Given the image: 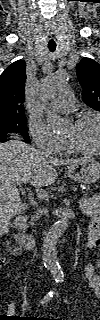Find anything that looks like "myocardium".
Here are the masks:
<instances>
[{
  "mask_svg": "<svg viewBox=\"0 0 100 320\" xmlns=\"http://www.w3.org/2000/svg\"><path fill=\"white\" fill-rule=\"evenodd\" d=\"M87 120H95L99 125V142H98L97 148L93 150H87L78 146L76 143H74L73 141L67 138H65V144L67 145L68 148H70L72 151H75L77 153H81L84 155H97L100 153V117L99 115L95 113L82 114L77 119H75L74 124H81Z\"/></svg>",
  "mask_w": 100,
  "mask_h": 320,
  "instance_id": "myocardium-1",
  "label": "myocardium"
}]
</instances>
